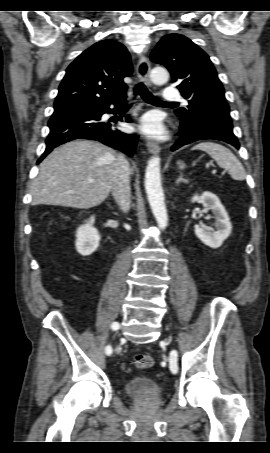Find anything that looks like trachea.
<instances>
[{
	"label": "trachea",
	"instance_id": "1",
	"mask_svg": "<svg viewBox=\"0 0 270 453\" xmlns=\"http://www.w3.org/2000/svg\"><path fill=\"white\" fill-rule=\"evenodd\" d=\"M134 95L139 94L144 101L150 104L154 105H167V104H177V102H165L162 101L161 99L155 97L152 95V93L149 92V90L146 88V86L143 83H139L134 87Z\"/></svg>",
	"mask_w": 270,
	"mask_h": 453
}]
</instances>
